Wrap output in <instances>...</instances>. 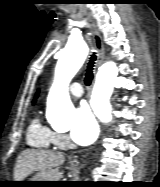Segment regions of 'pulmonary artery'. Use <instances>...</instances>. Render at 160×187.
I'll return each mask as SVG.
<instances>
[{
  "instance_id": "e3ab8cb5",
  "label": "pulmonary artery",
  "mask_w": 160,
  "mask_h": 187,
  "mask_svg": "<svg viewBox=\"0 0 160 187\" xmlns=\"http://www.w3.org/2000/svg\"><path fill=\"white\" fill-rule=\"evenodd\" d=\"M70 92L74 97H81L84 93L82 85L77 82L70 86Z\"/></svg>"
}]
</instances>
